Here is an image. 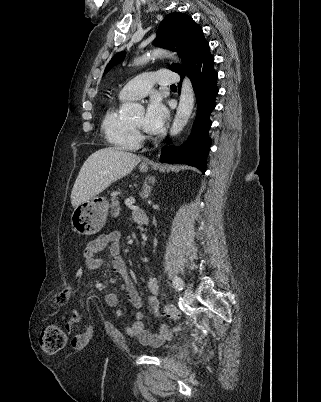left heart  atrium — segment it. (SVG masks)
Instances as JSON below:
<instances>
[{
  "instance_id": "1",
  "label": "left heart atrium",
  "mask_w": 321,
  "mask_h": 402,
  "mask_svg": "<svg viewBox=\"0 0 321 402\" xmlns=\"http://www.w3.org/2000/svg\"><path fill=\"white\" fill-rule=\"evenodd\" d=\"M168 118V110L162 101L153 98L147 105L143 120V128L149 133H158Z\"/></svg>"
}]
</instances>
